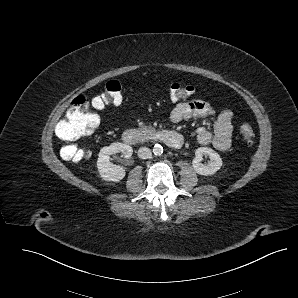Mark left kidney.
<instances>
[{
	"mask_svg": "<svg viewBox=\"0 0 298 298\" xmlns=\"http://www.w3.org/2000/svg\"><path fill=\"white\" fill-rule=\"evenodd\" d=\"M204 155H207L210 158L207 164H202ZM192 166L196 173L200 175H212L221 168L222 159L213 149L208 147H199L195 151V158L192 161Z\"/></svg>",
	"mask_w": 298,
	"mask_h": 298,
	"instance_id": "1",
	"label": "left kidney"
}]
</instances>
